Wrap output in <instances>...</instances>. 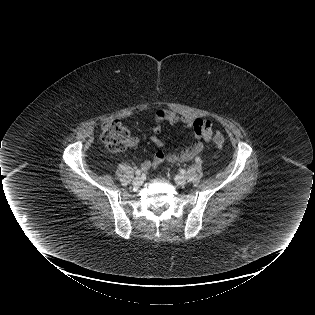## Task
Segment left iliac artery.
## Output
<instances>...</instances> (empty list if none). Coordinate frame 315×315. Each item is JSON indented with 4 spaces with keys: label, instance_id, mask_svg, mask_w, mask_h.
<instances>
[{
    "label": "left iliac artery",
    "instance_id": "obj_1",
    "mask_svg": "<svg viewBox=\"0 0 315 315\" xmlns=\"http://www.w3.org/2000/svg\"><path fill=\"white\" fill-rule=\"evenodd\" d=\"M195 161H196L197 163H200V162H201V159H200L199 157H196V158H195Z\"/></svg>",
    "mask_w": 315,
    "mask_h": 315
}]
</instances>
